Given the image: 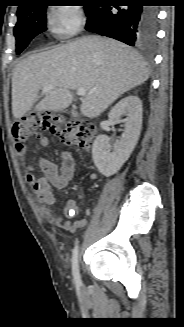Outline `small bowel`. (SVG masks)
I'll use <instances>...</instances> for the list:
<instances>
[{
  "label": "small bowel",
  "mask_w": 184,
  "mask_h": 327,
  "mask_svg": "<svg viewBox=\"0 0 184 327\" xmlns=\"http://www.w3.org/2000/svg\"><path fill=\"white\" fill-rule=\"evenodd\" d=\"M49 141L46 137H41L39 146L46 148ZM27 173L26 181L32 185L35 194L41 202V210L43 215L53 224L61 226L69 232L83 228L87 224L85 218H80L74 221L64 220L63 216L55 213L53 206L55 196L52 188L64 189L72 180L75 174V160L69 152H63L61 155V163L57 165L46 159H41L40 167L43 171V176L37 177L34 173V166L31 162L26 164ZM78 213V206L75 201L70 200L64 207V215L68 218L74 217Z\"/></svg>",
  "instance_id": "obj_1"
}]
</instances>
